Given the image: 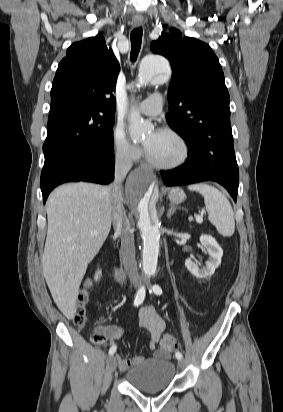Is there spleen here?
Wrapping results in <instances>:
<instances>
[{"mask_svg": "<svg viewBox=\"0 0 283 412\" xmlns=\"http://www.w3.org/2000/svg\"><path fill=\"white\" fill-rule=\"evenodd\" d=\"M188 189L199 192L203 198L208 218L219 234L230 237L235 230L234 213L228 199L215 187L208 184H193Z\"/></svg>", "mask_w": 283, "mask_h": 412, "instance_id": "3e777b00", "label": "spleen"}]
</instances>
